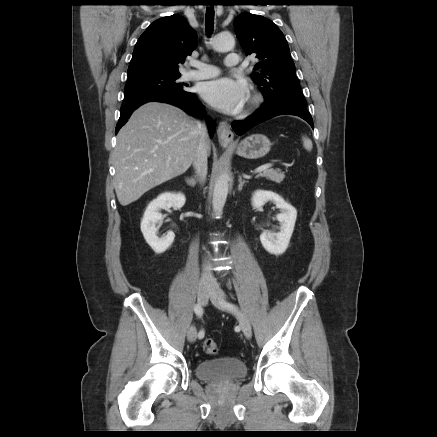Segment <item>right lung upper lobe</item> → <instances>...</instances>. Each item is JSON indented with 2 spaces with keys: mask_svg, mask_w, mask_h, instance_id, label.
Listing matches in <instances>:
<instances>
[{
  "mask_svg": "<svg viewBox=\"0 0 437 437\" xmlns=\"http://www.w3.org/2000/svg\"><path fill=\"white\" fill-rule=\"evenodd\" d=\"M197 43L196 32L180 15L154 21L138 39L127 75L179 73L178 65L191 55Z\"/></svg>",
  "mask_w": 437,
  "mask_h": 437,
  "instance_id": "obj_1",
  "label": "right lung upper lobe"
}]
</instances>
